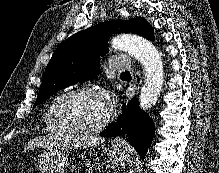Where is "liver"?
Listing matches in <instances>:
<instances>
[{
	"instance_id": "liver-1",
	"label": "liver",
	"mask_w": 219,
	"mask_h": 173,
	"mask_svg": "<svg viewBox=\"0 0 219 173\" xmlns=\"http://www.w3.org/2000/svg\"><path fill=\"white\" fill-rule=\"evenodd\" d=\"M104 142V138L91 136V137H83V138H64L62 140L48 138V137H38L28 142L25 146V150H29L33 147H47V146H58L62 148H87L98 146L100 143Z\"/></svg>"
}]
</instances>
